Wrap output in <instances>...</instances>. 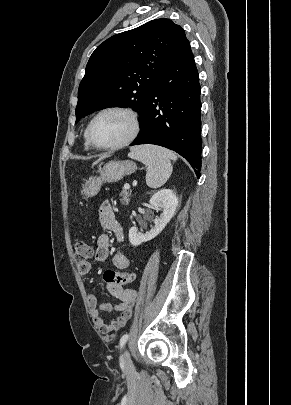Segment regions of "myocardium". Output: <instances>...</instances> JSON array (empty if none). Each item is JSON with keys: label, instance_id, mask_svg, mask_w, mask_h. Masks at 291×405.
Wrapping results in <instances>:
<instances>
[{"label": "myocardium", "instance_id": "obj_1", "mask_svg": "<svg viewBox=\"0 0 291 405\" xmlns=\"http://www.w3.org/2000/svg\"><path fill=\"white\" fill-rule=\"evenodd\" d=\"M109 112H119V113L126 115L131 121V125H132L131 132L125 139H123L119 143H116L114 145H109V146H100V145H97L92 139V136H91L92 126H93L94 122L100 116H102L103 114L109 113ZM139 132H140V120H139V116H138L137 112L130 107L113 105V106H108V107L102 108L91 118V120L89 121V123L86 127V130H85V137H86V141H87L88 145L92 149H95L98 151H115V150L122 149V148L128 146L129 144H131L136 139Z\"/></svg>", "mask_w": 291, "mask_h": 405}]
</instances>
